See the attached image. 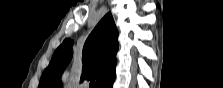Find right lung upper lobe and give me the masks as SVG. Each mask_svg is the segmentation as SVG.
Masks as SVG:
<instances>
[{"instance_id":"cb5924a9","label":"right lung upper lobe","mask_w":223,"mask_h":88,"mask_svg":"<svg viewBox=\"0 0 223 88\" xmlns=\"http://www.w3.org/2000/svg\"><path fill=\"white\" fill-rule=\"evenodd\" d=\"M118 31L111 13L97 24L87 38L82 52L84 79H96V87L115 79L116 53L118 50ZM73 42L64 40L53 54L49 66L44 70L39 88H62L60 76L72 58Z\"/></svg>"}]
</instances>
